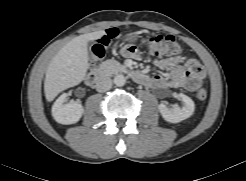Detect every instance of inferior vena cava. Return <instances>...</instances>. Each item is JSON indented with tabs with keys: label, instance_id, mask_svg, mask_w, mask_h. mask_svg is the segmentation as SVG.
Wrapping results in <instances>:
<instances>
[{
	"label": "inferior vena cava",
	"instance_id": "obj_1",
	"mask_svg": "<svg viewBox=\"0 0 246 181\" xmlns=\"http://www.w3.org/2000/svg\"><path fill=\"white\" fill-rule=\"evenodd\" d=\"M96 90L98 92H105L112 88V80L108 76H101L96 81Z\"/></svg>",
	"mask_w": 246,
	"mask_h": 181
}]
</instances>
